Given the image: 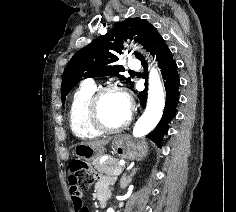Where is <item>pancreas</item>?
Instances as JSON below:
<instances>
[{"instance_id":"pancreas-1","label":"pancreas","mask_w":236,"mask_h":212,"mask_svg":"<svg viewBox=\"0 0 236 212\" xmlns=\"http://www.w3.org/2000/svg\"><path fill=\"white\" fill-rule=\"evenodd\" d=\"M92 164L95 169L100 172V175H112L115 170L122 168V166L119 164V160L113 157H109L107 160H105L102 166H100L98 159L94 160Z\"/></svg>"}]
</instances>
